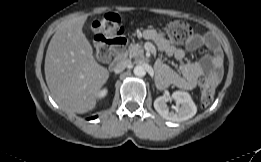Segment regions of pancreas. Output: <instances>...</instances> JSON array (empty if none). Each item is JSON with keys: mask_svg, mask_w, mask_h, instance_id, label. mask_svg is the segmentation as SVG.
Masks as SVG:
<instances>
[{"mask_svg": "<svg viewBox=\"0 0 261 162\" xmlns=\"http://www.w3.org/2000/svg\"><path fill=\"white\" fill-rule=\"evenodd\" d=\"M143 54V49H142V44L141 43H136V44H131L128 49L125 51L123 54V57H130V58H135L138 56H141Z\"/></svg>", "mask_w": 261, "mask_h": 162, "instance_id": "cf45deb5", "label": "pancreas"}]
</instances>
